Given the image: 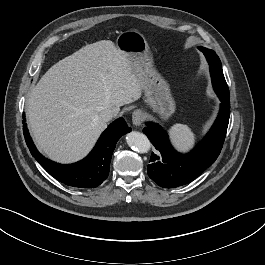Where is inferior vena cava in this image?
I'll return each instance as SVG.
<instances>
[{"mask_svg":"<svg viewBox=\"0 0 265 265\" xmlns=\"http://www.w3.org/2000/svg\"><path fill=\"white\" fill-rule=\"evenodd\" d=\"M115 113L113 110L111 109H106V110H103L100 115H99V118L102 120V121H105V122H108L110 121L113 117H114Z\"/></svg>","mask_w":265,"mask_h":265,"instance_id":"obj_1","label":"inferior vena cava"}]
</instances>
